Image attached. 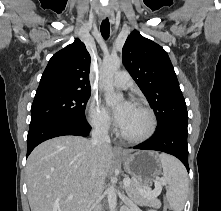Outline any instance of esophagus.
<instances>
[{
  "instance_id": "1",
  "label": "esophagus",
  "mask_w": 221,
  "mask_h": 211,
  "mask_svg": "<svg viewBox=\"0 0 221 211\" xmlns=\"http://www.w3.org/2000/svg\"><path fill=\"white\" fill-rule=\"evenodd\" d=\"M107 16H109V11L107 9H104L102 11V17L106 18ZM113 149H114V152L117 153V154H123L124 153L121 146L115 145Z\"/></svg>"
}]
</instances>
